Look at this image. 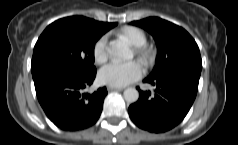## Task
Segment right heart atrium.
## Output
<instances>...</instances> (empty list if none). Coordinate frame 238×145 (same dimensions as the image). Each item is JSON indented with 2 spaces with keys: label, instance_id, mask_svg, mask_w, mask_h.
Listing matches in <instances>:
<instances>
[{
  "label": "right heart atrium",
  "instance_id": "1",
  "mask_svg": "<svg viewBox=\"0 0 238 145\" xmlns=\"http://www.w3.org/2000/svg\"><path fill=\"white\" fill-rule=\"evenodd\" d=\"M92 55L97 63H103L108 58L107 37L101 36L98 38L92 48Z\"/></svg>",
  "mask_w": 238,
  "mask_h": 145
}]
</instances>
